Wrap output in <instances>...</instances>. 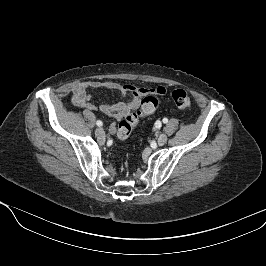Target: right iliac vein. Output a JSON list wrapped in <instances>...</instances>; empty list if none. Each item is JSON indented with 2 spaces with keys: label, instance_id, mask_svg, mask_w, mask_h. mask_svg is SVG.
Instances as JSON below:
<instances>
[{
  "label": "right iliac vein",
  "instance_id": "63e3f726",
  "mask_svg": "<svg viewBox=\"0 0 266 266\" xmlns=\"http://www.w3.org/2000/svg\"><path fill=\"white\" fill-rule=\"evenodd\" d=\"M95 135L99 138H103L105 136V132H104L103 128H97L95 130Z\"/></svg>",
  "mask_w": 266,
  "mask_h": 266
}]
</instances>
